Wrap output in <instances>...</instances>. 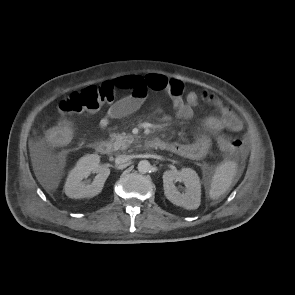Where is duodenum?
I'll return each mask as SVG.
<instances>
[{
  "label": "duodenum",
  "mask_w": 295,
  "mask_h": 295,
  "mask_svg": "<svg viewBox=\"0 0 295 295\" xmlns=\"http://www.w3.org/2000/svg\"><path fill=\"white\" fill-rule=\"evenodd\" d=\"M146 146L151 149H162L164 144L161 140L149 138L146 141ZM94 149L101 155H108L111 153V144L108 141L100 140L94 143Z\"/></svg>",
  "instance_id": "duodenum-1"
}]
</instances>
